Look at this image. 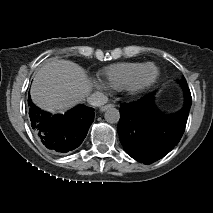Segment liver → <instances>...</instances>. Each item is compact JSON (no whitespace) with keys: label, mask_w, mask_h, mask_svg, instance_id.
Segmentation results:
<instances>
[{"label":"liver","mask_w":213,"mask_h":213,"mask_svg":"<svg viewBox=\"0 0 213 213\" xmlns=\"http://www.w3.org/2000/svg\"><path fill=\"white\" fill-rule=\"evenodd\" d=\"M91 90L85 71L76 63L61 59L47 62L34 75L30 95L42 110L62 113L83 101Z\"/></svg>","instance_id":"obj_1"}]
</instances>
